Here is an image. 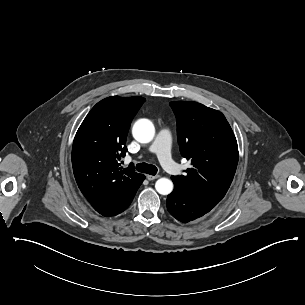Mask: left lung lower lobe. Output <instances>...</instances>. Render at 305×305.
<instances>
[{"instance_id": "0a47b994", "label": "left lung lower lobe", "mask_w": 305, "mask_h": 305, "mask_svg": "<svg viewBox=\"0 0 305 305\" xmlns=\"http://www.w3.org/2000/svg\"><path fill=\"white\" fill-rule=\"evenodd\" d=\"M218 202L186 194L175 186L173 192L168 195L166 205L174 218L188 223L208 213Z\"/></svg>"}]
</instances>
